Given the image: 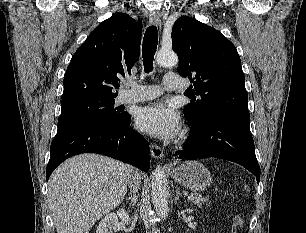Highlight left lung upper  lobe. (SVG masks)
I'll return each instance as SVG.
<instances>
[{"mask_svg": "<svg viewBox=\"0 0 306 233\" xmlns=\"http://www.w3.org/2000/svg\"><path fill=\"white\" fill-rule=\"evenodd\" d=\"M172 48L179 56V74L193 83L184 109L190 125L220 114L249 116L241 60L221 32L182 16L173 25Z\"/></svg>", "mask_w": 306, "mask_h": 233, "instance_id": "left-lung-upper-lobe-1", "label": "left lung upper lobe"}]
</instances>
